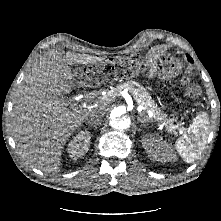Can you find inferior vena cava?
Wrapping results in <instances>:
<instances>
[{"label":"inferior vena cava","mask_w":221,"mask_h":221,"mask_svg":"<svg viewBox=\"0 0 221 221\" xmlns=\"http://www.w3.org/2000/svg\"><path fill=\"white\" fill-rule=\"evenodd\" d=\"M103 118V114L99 109H93L89 115L88 124H98Z\"/></svg>","instance_id":"inferior-vena-cava-1"}]
</instances>
